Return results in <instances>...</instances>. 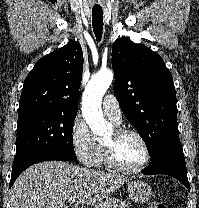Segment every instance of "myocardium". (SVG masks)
Here are the masks:
<instances>
[{
  "label": "myocardium",
  "mask_w": 199,
  "mask_h": 208,
  "mask_svg": "<svg viewBox=\"0 0 199 208\" xmlns=\"http://www.w3.org/2000/svg\"><path fill=\"white\" fill-rule=\"evenodd\" d=\"M124 135H133L135 136L143 145L145 151V158L144 160L134 168H128L120 163L118 160L116 153H115V141ZM104 153H105V160L109 167L114 168L120 172L127 173V174H135L142 171L150 162L151 160V152L148 142L144 138V136L135 129L127 128V127H120L114 130V139L113 141L103 143Z\"/></svg>",
  "instance_id": "1"
}]
</instances>
